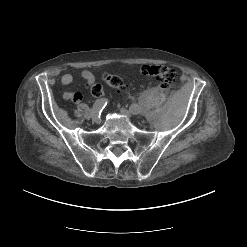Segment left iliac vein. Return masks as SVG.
I'll use <instances>...</instances> for the list:
<instances>
[{
    "instance_id": "1",
    "label": "left iliac vein",
    "mask_w": 247,
    "mask_h": 247,
    "mask_svg": "<svg viewBox=\"0 0 247 247\" xmlns=\"http://www.w3.org/2000/svg\"><path fill=\"white\" fill-rule=\"evenodd\" d=\"M120 112H121L123 115L127 116V117H129V116L131 115L130 111L127 110V109H125V108H121V109H120Z\"/></svg>"
}]
</instances>
